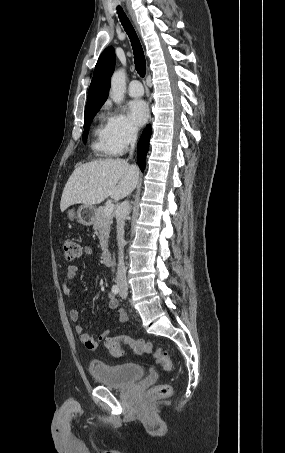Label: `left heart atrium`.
Here are the masks:
<instances>
[{"label": "left heart atrium", "mask_w": 285, "mask_h": 453, "mask_svg": "<svg viewBox=\"0 0 285 453\" xmlns=\"http://www.w3.org/2000/svg\"><path fill=\"white\" fill-rule=\"evenodd\" d=\"M148 116L149 109L143 100H133L129 103V117L135 125H144Z\"/></svg>", "instance_id": "1"}]
</instances>
